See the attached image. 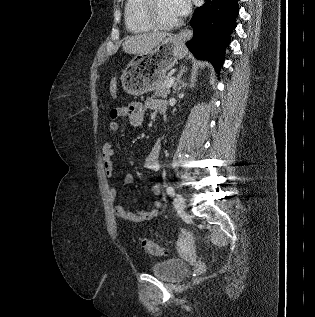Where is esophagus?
Returning a JSON list of instances; mask_svg holds the SVG:
<instances>
[{
	"mask_svg": "<svg viewBox=\"0 0 315 317\" xmlns=\"http://www.w3.org/2000/svg\"><path fill=\"white\" fill-rule=\"evenodd\" d=\"M179 37L184 40H188L192 37V31L189 29H184L179 33Z\"/></svg>",
	"mask_w": 315,
	"mask_h": 317,
	"instance_id": "34e87169",
	"label": "esophagus"
}]
</instances>
